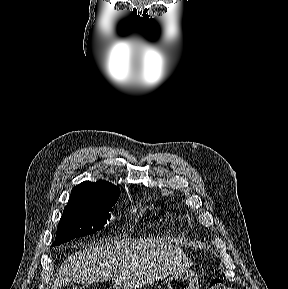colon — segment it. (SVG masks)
Segmentation results:
<instances>
[{
	"label": "colon",
	"instance_id": "5ec220e1",
	"mask_svg": "<svg viewBox=\"0 0 288 289\" xmlns=\"http://www.w3.org/2000/svg\"><path fill=\"white\" fill-rule=\"evenodd\" d=\"M209 289H232L220 280H214L210 284Z\"/></svg>",
	"mask_w": 288,
	"mask_h": 289
}]
</instances>
